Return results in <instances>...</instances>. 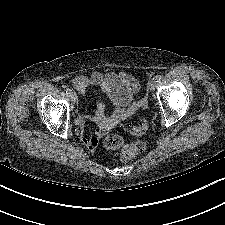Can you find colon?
<instances>
[{
  "instance_id": "5ec220e1",
  "label": "colon",
  "mask_w": 225,
  "mask_h": 225,
  "mask_svg": "<svg viewBox=\"0 0 225 225\" xmlns=\"http://www.w3.org/2000/svg\"><path fill=\"white\" fill-rule=\"evenodd\" d=\"M143 105L147 102L143 101ZM149 123L146 119H141L139 123L128 130V133L133 136H141L148 131ZM103 146L107 150H120V158L122 161H130L134 159L139 153L146 149V142L144 140H136L132 143H125L124 139L117 134H108L103 138Z\"/></svg>"
}]
</instances>
